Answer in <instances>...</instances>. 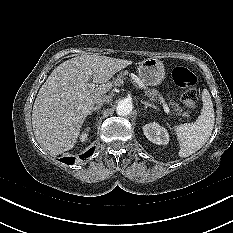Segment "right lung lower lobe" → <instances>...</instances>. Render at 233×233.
Wrapping results in <instances>:
<instances>
[{
	"instance_id": "1",
	"label": "right lung lower lobe",
	"mask_w": 233,
	"mask_h": 233,
	"mask_svg": "<svg viewBox=\"0 0 233 233\" xmlns=\"http://www.w3.org/2000/svg\"><path fill=\"white\" fill-rule=\"evenodd\" d=\"M94 149H95V147L89 149L86 153L80 155V158H81V159H86V158H88L90 155H92ZM59 161L65 163V164H68V165H72V164L74 163V161H75V158H74V157H64V158H62V159H59Z\"/></svg>"
}]
</instances>
